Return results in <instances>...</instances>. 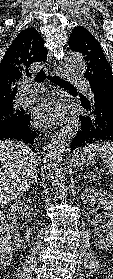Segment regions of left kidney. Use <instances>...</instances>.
Here are the masks:
<instances>
[{"label": "left kidney", "mask_w": 113, "mask_h": 279, "mask_svg": "<svg viewBox=\"0 0 113 279\" xmlns=\"http://www.w3.org/2000/svg\"><path fill=\"white\" fill-rule=\"evenodd\" d=\"M81 199L84 204H92L96 200H99L104 210L107 211L109 220L106 224V235L101 234L98 228H94L93 232L96 242L101 249L110 248L113 246V196L106 191L96 190L89 187L82 192Z\"/></svg>", "instance_id": "1"}]
</instances>
